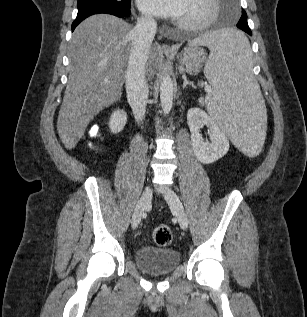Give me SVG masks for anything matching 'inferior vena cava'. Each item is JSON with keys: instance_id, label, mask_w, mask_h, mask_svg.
<instances>
[{"instance_id": "inferior-vena-cava-1", "label": "inferior vena cava", "mask_w": 307, "mask_h": 317, "mask_svg": "<svg viewBox=\"0 0 307 317\" xmlns=\"http://www.w3.org/2000/svg\"><path fill=\"white\" fill-rule=\"evenodd\" d=\"M157 31V23L151 16L140 17L132 30L133 43L126 72V93L137 122L145 115L148 84L145 79L146 63L151 43Z\"/></svg>"}]
</instances>
